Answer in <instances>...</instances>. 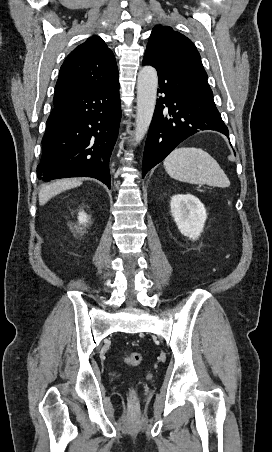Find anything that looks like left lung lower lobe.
Instances as JSON below:
<instances>
[{
    "label": "left lung lower lobe",
    "instance_id": "left-lung-lower-lobe-1",
    "mask_svg": "<svg viewBox=\"0 0 272 452\" xmlns=\"http://www.w3.org/2000/svg\"><path fill=\"white\" fill-rule=\"evenodd\" d=\"M143 65H152L158 73V92L149 128L142 176L161 162L179 143L201 130H215L229 136L217 110L207 81L173 65L162 64L144 55Z\"/></svg>",
    "mask_w": 272,
    "mask_h": 452
}]
</instances>
